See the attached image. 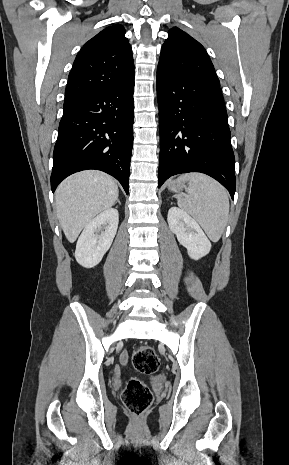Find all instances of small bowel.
Returning <instances> with one entry per match:
<instances>
[{
	"instance_id": "c3829d8e",
	"label": "small bowel",
	"mask_w": 289,
	"mask_h": 465,
	"mask_svg": "<svg viewBox=\"0 0 289 465\" xmlns=\"http://www.w3.org/2000/svg\"><path fill=\"white\" fill-rule=\"evenodd\" d=\"M121 362L122 363H127L128 361V354L126 352H123L120 356Z\"/></svg>"
}]
</instances>
